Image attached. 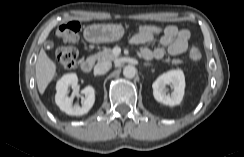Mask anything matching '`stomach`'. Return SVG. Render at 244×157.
<instances>
[{
  "label": "stomach",
  "mask_w": 244,
  "mask_h": 157,
  "mask_svg": "<svg viewBox=\"0 0 244 157\" xmlns=\"http://www.w3.org/2000/svg\"><path fill=\"white\" fill-rule=\"evenodd\" d=\"M124 28L117 24H92L84 31L85 39L91 43H106L120 40Z\"/></svg>",
  "instance_id": "obj_1"
}]
</instances>
